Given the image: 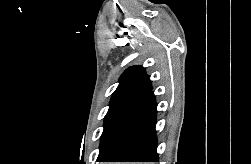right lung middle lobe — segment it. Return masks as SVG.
I'll list each match as a JSON object with an SVG mask.
<instances>
[{
    "instance_id": "right-lung-middle-lobe-1",
    "label": "right lung middle lobe",
    "mask_w": 251,
    "mask_h": 164,
    "mask_svg": "<svg viewBox=\"0 0 251 164\" xmlns=\"http://www.w3.org/2000/svg\"><path fill=\"white\" fill-rule=\"evenodd\" d=\"M141 95L142 93L138 91H118L113 94L109 110L105 116L104 131L101 136L100 144L104 142L115 122L141 97Z\"/></svg>"
}]
</instances>
